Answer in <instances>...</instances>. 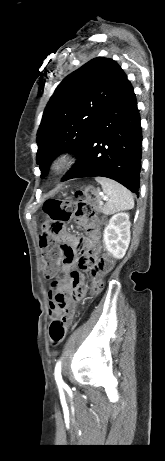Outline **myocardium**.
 I'll return each instance as SVG.
<instances>
[{"label":"myocardium","instance_id":"1","mask_svg":"<svg viewBox=\"0 0 165 461\" xmlns=\"http://www.w3.org/2000/svg\"><path fill=\"white\" fill-rule=\"evenodd\" d=\"M72 162L73 156L68 152H63L51 160L49 170L54 175H60L70 167Z\"/></svg>","mask_w":165,"mask_h":461}]
</instances>
